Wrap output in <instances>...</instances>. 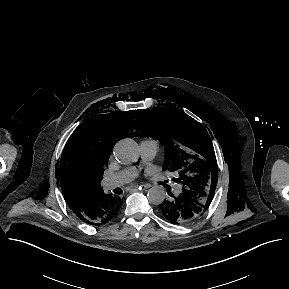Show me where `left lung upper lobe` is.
<instances>
[{
    "label": "left lung upper lobe",
    "mask_w": 289,
    "mask_h": 289,
    "mask_svg": "<svg viewBox=\"0 0 289 289\" xmlns=\"http://www.w3.org/2000/svg\"><path fill=\"white\" fill-rule=\"evenodd\" d=\"M141 136L158 139L167 153L164 168L178 171L183 187L202 185L206 192L217 184V162L210 136L196 120L176 107L139 111ZM137 134V133H136Z\"/></svg>",
    "instance_id": "left-lung-upper-lobe-1"
}]
</instances>
